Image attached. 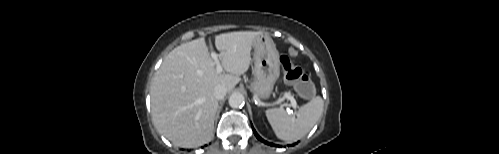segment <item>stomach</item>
I'll list each match as a JSON object with an SVG mask.
<instances>
[{
    "label": "stomach",
    "mask_w": 499,
    "mask_h": 154,
    "mask_svg": "<svg viewBox=\"0 0 499 154\" xmlns=\"http://www.w3.org/2000/svg\"><path fill=\"white\" fill-rule=\"evenodd\" d=\"M253 48L254 79L250 90L258 98L268 99L280 75L279 54L267 33L260 34L253 40Z\"/></svg>",
    "instance_id": "1"
}]
</instances>
